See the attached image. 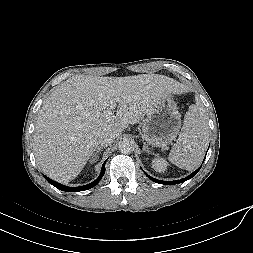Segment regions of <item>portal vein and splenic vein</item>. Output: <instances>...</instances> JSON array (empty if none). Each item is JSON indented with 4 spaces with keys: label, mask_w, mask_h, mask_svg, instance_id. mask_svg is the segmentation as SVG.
<instances>
[{
    "label": "portal vein and splenic vein",
    "mask_w": 253,
    "mask_h": 253,
    "mask_svg": "<svg viewBox=\"0 0 253 253\" xmlns=\"http://www.w3.org/2000/svg\"><path fill=\"white\" fill-rule=\"evenodd\" d=\"M106 114H107V116H110V115H112V111H111V110H108V111L106 112Z\"/></svg>",
    "instance_id": "18ae733b"
}]
</instances>
